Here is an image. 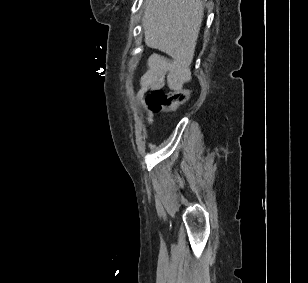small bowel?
Returning a JSON list of instances; mask_svg holds the SVG:
<instances>
[{
    "label": "small bowel",
    "instance_id": "1",
    "mask_svg": "<svg viewBox=\"0 0 308 283\" xmlns=\"http://www.w3.org/2000/svg\"><path fill=\"white\" fill-rule=\"evenodd\" d=\"M186 74L187 71L179 63L161 56L152 57L148 62V69L140 78L139 100L144 104L146 93L149 90L162 89L167 77L175 78ZM147 122H152V111L148 113Z\"/></svg>",
    "mask_w": 308,
    "mask_h": 283
}]
</instances>
